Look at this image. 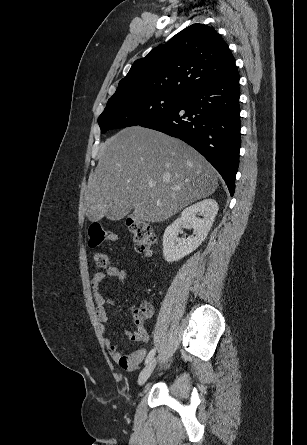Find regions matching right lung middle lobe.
<instances>
[{
  "label": "right lung middle lobe",
  "instance_id": "1",
  "mask_svg": "<svg viewBox=\"0 0 307 445\" xmlns=\"http://www.w3.org/2000/svg\"><path fill=\"white\" fill-rule=\"evenodd\" d=\"M183 98L184 96L163 94L113 96L98 118L101 133L154 120L174 109Z\"/></svg>",
  "mask_w": 307,
  "mask_h": 445
}]
</instances>
